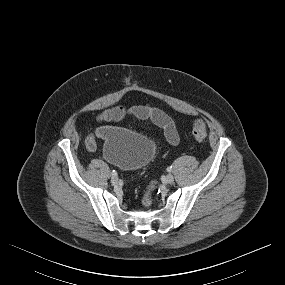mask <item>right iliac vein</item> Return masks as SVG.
Returning a JSON list of instances; mask_svg holds the SVG:
<instances>
[{
	"instance_id": "63e3f726",
	"label": "right iliac vein",
	"mask_w": 285,
	"mask_h": 285,
	"mask_svg": "<svg viewBox=\"0 0 285 285\" xmlns=\"http://www.w3.org/2000/svg\"><path fill=\"white\" fill-rule=\"evenodd\" d=\"M111 182H112L113 184H117V183H118V177H117V176H112V177H111Z\"/></svg>"
}]
</instances>
